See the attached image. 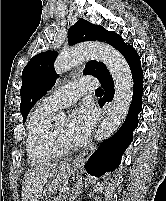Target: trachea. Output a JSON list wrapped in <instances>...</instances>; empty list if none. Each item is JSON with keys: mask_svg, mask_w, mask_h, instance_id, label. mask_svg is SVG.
I'll use <instances>...</instances> for the list:
<instances>
[{"mask_svg": "<svg viewBox=\"0 0 166 201\" xmlns=\"http://www.w3.org/2000/svg\"><path fill=\"white\" fill-rule=\"evenodd\" d=\"M96 94H103V90H102L101 88H98V89L96 90Z\"/></svg>", "mask_w": 166, "mask_h": 201, "instance_id": "obj_1", "label": "trachea"}]
</instances>
